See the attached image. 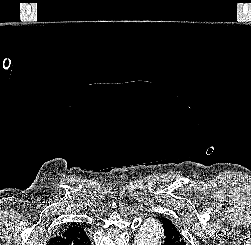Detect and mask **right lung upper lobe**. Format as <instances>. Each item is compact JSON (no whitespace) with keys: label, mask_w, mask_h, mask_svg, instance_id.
I'll use <instances>...</instances> for the list:
<instances>
[{"label":"right lung upper lobe","mask_w":251,"mask_h":245,"mask_svg":"<svg viewBox=\"0 0 251 245\" xmlns=\"http://www.w3.org/2000/svg\"><path fill=\"white\" fill-rule=\"evenodd\" d=\"M69 228L73 230V229H76V228L78 229V228H80V227H79L78 225H73V226H69ZM65 229H66V228H65Z\"/></svg>","instance_id":"right-lung-upper-lobe-1"}]
</instances>
